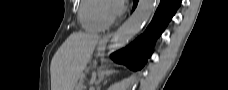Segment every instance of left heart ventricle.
<instances>
[{
	"label": "left heart ventricle",
	"instance_id": "obj_1",
	"mask_svg": "<svg viewBox=\"0 0 228 90\" xmlns=\"http://www.w3.org/2000/svg\"><path fill=\"white\" fill-rule=\"evenodd\" d=\"M107 11H108L109 13L112 12L111 9H110V6L107 7Z\"/></svg>",
	"mask_w": 228,
	"mask_h": 90
}]
</instances>
